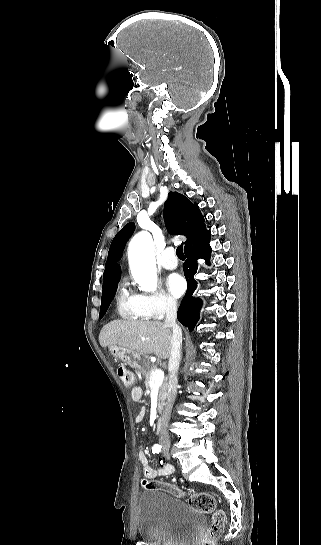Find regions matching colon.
Listing matches in <instances>:
<instances>
[{
    "instance_id": "obj_1",
    "label": "colon",
    "mask_w": 321,
    "mask_h": 545,
    "mask_svg": "<svg viewBox=\"0 0 321 545\" xmlns=\"http://www.w3.org/2000/svg\"><path fill=\"white\" fill-rule=\"evenodd\" d=\"M117 372L125 386H132L133 377L127 367L121 365L118 367ZM144 486L147 489H161L175 496H180L182 494L176 486L165 482L146 480L144 481ZM189 504L196 510H199L206 514H212V522L208 530V535L207 538L203 541L202 545H213L214 541L221 536L224 530V511L221 509H216V502L214 497L206 492H199L191 495L189 498Z\"/></svg>"
}]
</instances>
